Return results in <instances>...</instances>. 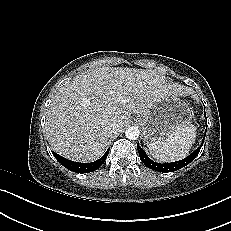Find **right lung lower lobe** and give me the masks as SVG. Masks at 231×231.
<instances>
[{"label":"right lung lower lobe","instance_id":"1","mask_svg":"<svg viewBox=\"0 0 231 231\" xmlns=\"http://www.w3.org/2000/svg\"><path fill=\"white\" fill-rule=\"evenodd\" d=\"M109 153V149L106 151V153L98 160L91 162V163H79L74 162L71 160H68L55 152H53L55 158L58 162H60L64 167L69 169L70 171L76 172V173H89L97 170L106 160Z\"/></svg>","mask_w":231,"mask_h":231}]
</instances>
